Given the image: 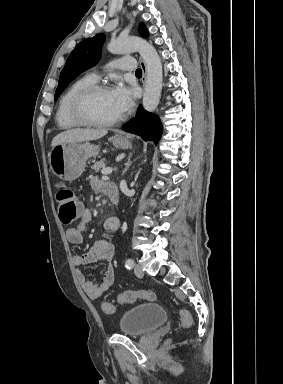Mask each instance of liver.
Masks as SVG:
<instances>
[{"instance_id":"1","label":"liver","mask_w":283,"mask_h":384,"mask_svg":"<svg viewBox=\"0 0 283 384\" xmlns=\"http://www.w3.org/2000/svg\"><path fill=\"white\" fill-rule=\"evenodd\" d=\"M108 134L107 130H84V128H73V130H66L55 136L52 140V148L58 144H65V142H89V140H99Z\"/></svg>"}]
</instances>
